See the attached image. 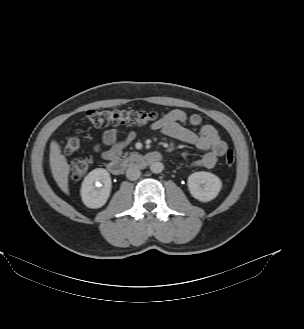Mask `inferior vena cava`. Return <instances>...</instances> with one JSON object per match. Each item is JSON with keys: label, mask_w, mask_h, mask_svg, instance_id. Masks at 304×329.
I'll list each match as a JSON object with an SVG mask.
<instances>
[{"label": "inferior vena cava", "mask_w": 304, "mask_h": 329, "mask_svg": "<svg viewBox=\"0 0 304 329\" xmlns=\"http://www.w3.org/2000/svg\"><path fill=\"white\" fill-rule=\"evenodd\" d=\"M140 175H141L140 170L135 166L129 167L126 171V177L131 181L137 180L140 177Z\"/></svg>", "instance_id": "1"}]
</instances>
